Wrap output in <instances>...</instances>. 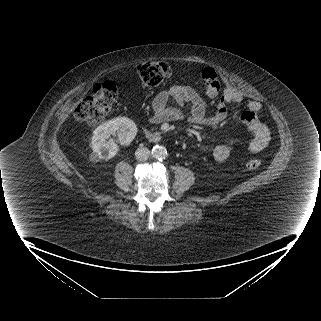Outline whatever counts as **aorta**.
<instances>
[{
    "label": "aorta",
    "instance_id": "aorta-1",
    "mask_svg": "<svg viewBox=\"0 0 321 321\" xmlns=\"http://www.w3.org/2000/svg\"><path fill=\"white\" fill-rule=\"evenodd\" d=\"M152 156L156 159H165L167 156V150L163 146L156 145L152 148Z\"/></svg>",
    "mask_w": 321,
    "mask_h": 321
}]
</instances>
